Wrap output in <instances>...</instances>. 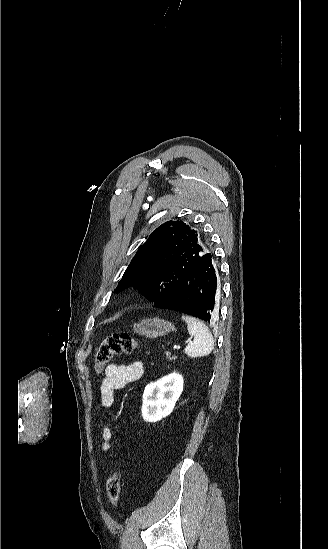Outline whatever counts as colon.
Here are the masks:
<instances>
[{
  "mask_svg": "<svg viewBox=\"0 0 328 549\" xmlns=\"http://www.w3.org/2000/svg\"><path fill=\"white\" fill-rule=\"evenodd\" d=\"M139 345V340L127 333L112 334L105 338L97 349L95 355V368L101 370L110 360L117 355L130 354ZM107 496L110 504H118L121 492V484L118 473L113 470L107 479Z\"/></svg>",
  "mask_w": 328,
  "mask_h": 549,
  "instance_id": "colon-1",
  "label": "colon"
}]
</instances>
